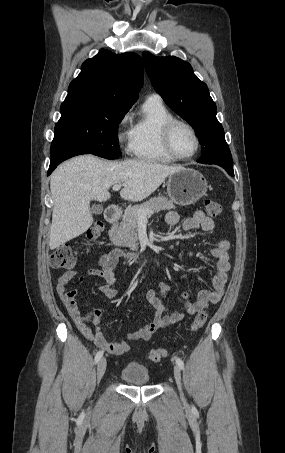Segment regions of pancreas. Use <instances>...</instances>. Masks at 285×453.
I'll list each match as a JSON object with an SVG mask.
<instances>
[{"mask_svg":"<svg viewBox=\"0 0 285 453\" xmlns=\"http://www.w3.org/2000/svg\"><path fill=\"white\" fill-rule=\"evenodd\" d=\"M175 204L167 197L158 196L142 203L141 205L133 206L125 210L122 221L112 226L110 235L112 240L119 246L128 247L133 251L138 250V234L137 228L140 217L138 210L159 212L160 210L175 209Z\"/></svg>","mask_w":285,"mask_h":453,"instance_id":"obj_1","label":"pancreas"}]
</instances>
